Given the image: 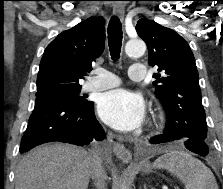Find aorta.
Instances as JSON below:
<instances>
[{
	"instance_id": "1",
	"label": "aorta",
	"mask_w": 223,
	"mask_h": 189,
	"mask_svg": "<svg viewBox=\"0 0 223 189\" xmlns=\"http://www.w3.org/2000/svg\"><path fill=\"white\" fill-rule=\"evenodd\" d=\"M146 51V45L141 39H131L125 45V52L131 58L142 56Z\"/></svg>"
}]
</instances>
